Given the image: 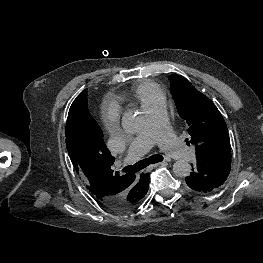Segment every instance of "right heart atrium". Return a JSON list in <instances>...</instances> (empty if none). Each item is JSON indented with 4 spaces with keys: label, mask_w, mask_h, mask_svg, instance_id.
Instances as JSON below:
<instances>
[{
    "label": "right heart atrium",
    "mask_w": 263,
    "mask_h": 263,
    "mask_svg": "<svg viewBox=\"0 0 263 263\" xmlns=\"http://www.w3.org/2000/svg\"><path fill=\"white\" fill-rule=\"evenodd\" d=\"M103 115L106 122L111 125L117 116V109L113 104H106L103 107Z\"/></svg>",
    "instance_id": "1"
}]
</instances>
